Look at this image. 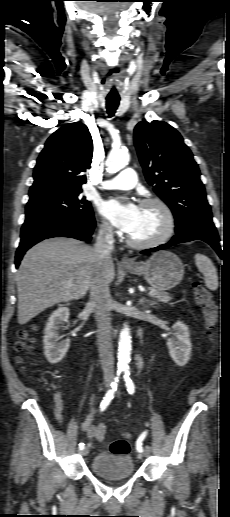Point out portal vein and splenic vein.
<instances>
[{
  "mask_svg": "<svg viewBox=\"0 0 230 517\" xmlns=\"http://www.w3.org/2000/svg\"><path fill=\"white\" fill-rule=\"evenodd\" d=\"M148 295H149V296H154V295H156V291L152 290V291H150V292L148 293Z\"/></svg>",
  "mask_w": 230,
  "mask_h": 517,
  "instance_id": "obj_1",
  "label": "portal vein and splenic vein"
}]
</instances>
